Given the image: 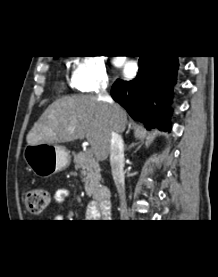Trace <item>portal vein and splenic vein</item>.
<instances>
[{
  "label": "portal vein and splenic vein",
  "instance_id": "obj_1",
  "mask_svg": "<svg viewBox=\"0 0 218 277\" xmlns=\"http://www.w3.org/2000/svg\"><path fill=\"white\" fill-rule=\"evenodd\" d=\"M88 152H89V153H92V150H91V149H89V150H88Z\"/></svg>",
  "mask_w": 218,
  "mask_h": 277
}]
</instances>
